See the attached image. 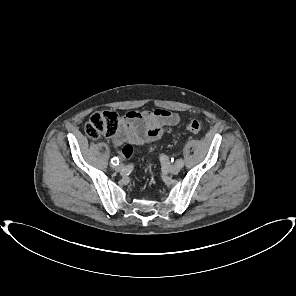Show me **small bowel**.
I'll return each instance as SVG.
<instances>
[{
	"label": "small bowel",
	"instance_id": "small-bowel-1",
	"mask_svg": "<svg viewBox=\"0 0 296 296\" xmlns=\"http://www.w3.org/2000/svg\"><path fill=\"white\" fill-rule=\"evenodd\" d=\"M179 121V115L167 109L130 111L121 119L113 143L116 146L125 142L142 145L169 133Z\"/></svg>",
	"mask_w": 296,
	"mask_h": 296
}]
</instances>
